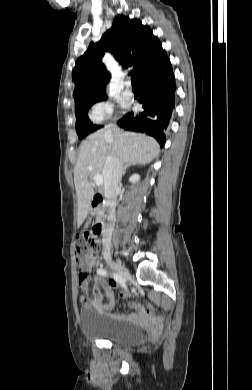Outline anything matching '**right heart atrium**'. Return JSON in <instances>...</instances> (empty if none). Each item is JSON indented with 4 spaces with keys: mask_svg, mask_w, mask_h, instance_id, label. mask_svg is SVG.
<instances>
[{
    "mask_svg": "<svg viewBox=\"0 0 252 390\" xmlns=\"http://www.w3.org/2000/svg\"><path fill=\"white\" fill-rule=\"evenodd\" d=\"M114 106L109 101H98L94 103L89 111V118L95 124H101L112 118Z\"/></svg>",
    "mask_w": 252,
    "mask_h": 390,
    "instance_id": "obj_1",
    "label": "right heart atrium"
}]
</instances>
